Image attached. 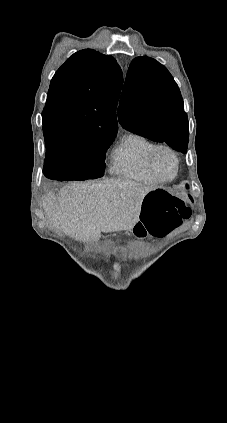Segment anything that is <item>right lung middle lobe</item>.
I'll use <instances>...</instances> for the list:
<instances>
[{
  "label": "right lung middle lobe",
  "mask_w": 227,
  "mask_h": 423,
  "mask_svg": "<svg viewBox=\"0 0 227 423\" xmlns=\"http://www.w3.org/2000/svg\"><path fill=\"white\" fill-rule=\"evenodd\" d=\"M115 136H79L45 142V163L57 162L71 167V180L100 178L104 174L105 155Z\"/></svg>",
  "instance_id": "1"
}]
</instances>
